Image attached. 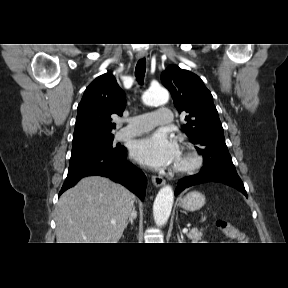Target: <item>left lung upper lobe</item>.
Here are the masks:
<instances>
[{
    "label": "left lung upper lobe",
    "instance_id": "obj_1",
    "mask_svg": "<svg viewBox=\"0 0 288 288\" xmlns=\"http://www.w3.org/2000/svg\"><path fill=\"white\" fill-rule=\"evenodd\" d=\"M161 82L171 92L179 113H188L184 130L204 158L202 170L218 169L237 174L212 94L201 78L171 65L161 74Z\"/></svg>",
    "mask_w": 288,
    "mask_h": 288
}]
</instances>
